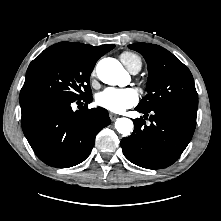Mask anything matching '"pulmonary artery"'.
Here are the masks:
<instances>
[{"mask_svg":"<svg viewBox=\"0 0 221 221\" xmlns=\"http://www.w3.org/2000/svg\"><path fill=\"white\" fill-rule=\"evenodd\" d=\"M139 70H140V67H139V66H135V67H133V68L130 70V72H131L132 74H136V73H138Z\"/></svg>","mask_w":221,"mask_h":221,"instance_id":"e3ab8cb5","label":"pulmonary artery"}]
</instances>
